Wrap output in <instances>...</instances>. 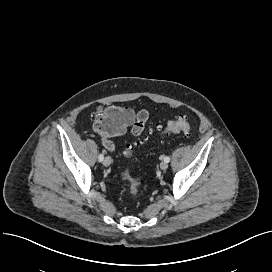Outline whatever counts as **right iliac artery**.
I'll return each mask as SVG.
<instances>
[{"instance_id":"82829eb1","label":"right iliac artery","mask_w":272,"mask_h":272,"mask_svg":"<svg viewBox=\"0 0 272 272\" xmlns=\"http://www.w3.org/2000/svg\"><path fill=\"white\" fill-rule=\"evenodd\" d=\"M103 159H104L103 154H100V155L98 156V160H99V162H102V161H103Z\"/></svg>"}]
</instances>
